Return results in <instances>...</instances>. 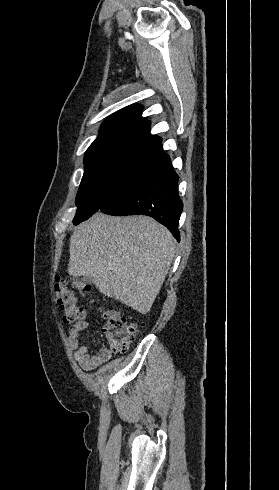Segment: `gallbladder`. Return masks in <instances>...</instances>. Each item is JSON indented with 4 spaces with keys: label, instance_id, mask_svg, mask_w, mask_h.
I'll return each mask as SVG.
<instances>
[{
    "label": "gallbladder",
    "instance_id": "obj_1",
    "mask_svg": "<svg viewBox=\"0 0 279 490\" xmlns=\"http://www.w3.org/2000/svg\"><path fill=\"white\" fill-rule=\"evenodd\" d=\"M81 282H83V284H89L91 280L90 278H87V276H83V278H81Z\"/></svg>",
    "mask_w": 279,
    "mask_h": 490
}]
</instances>
